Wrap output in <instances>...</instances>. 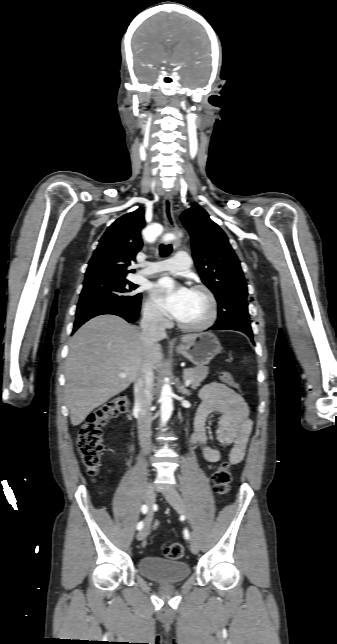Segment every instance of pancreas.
<instances>
[{
  "instance_id": "pancreas-1",
  "label": "pancreas",
  "mask_w": 337,
  "mask_h": 644,
  "mask_svg": "<svg viewBox=\"0 0 337 644\" xmlns=\"http://www.w3.org/2000/svg\"><path fill=\"white\" fill-rule=\"evenodd\" d=\"M208 374L207 367H195L184 370V377L191 379V387L196 389Z\"/></svg>"
}]
</instances>
